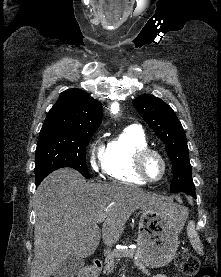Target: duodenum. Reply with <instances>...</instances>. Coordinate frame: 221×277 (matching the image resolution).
<instances>
[{"mask_svg":"<svg viewBox=\"0 0 221 277\" xmlns=\"http://www.w3.org/2000/svg\"><path fill=\"white\" fill-rule=\"evenodd\" d=\"M102 268V262L99 259L94 260L92 266L84 271L81 277H94Z\"/></svg>","mask_w":221,"mask_h":277,"instance_id":"1","label":"duodenum"}]
</instances>
